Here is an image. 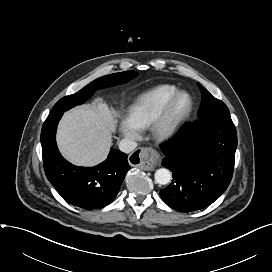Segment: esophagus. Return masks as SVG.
I'll return each mask as SVG.
<instances>
[{"label": "esophagus", "mask_w": 272, "mask_h": 272, "mask_svg": "<svg viewBox=\"0 0 272 272\" xmlns=\"http://www.w3.org/2000/svg\"><path fill=\"white\" fill-rule=\"evenodd\" d=\"M159 157L155 149L143 147L131 155L130 161L132 164H138L140 169L150 171L157 165Z\"/></svg>", "instance_id": "1"}]
</instances>
